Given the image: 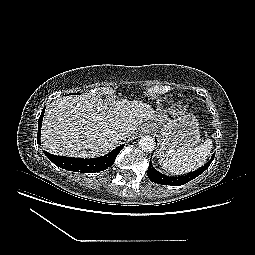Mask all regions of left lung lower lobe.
Returning a JSON list of instances; mask_svg holds the SVG:
<instances>
[{
	"label": "left lung lower lobe",
	"instance_id": "0a47b994",
	"mask_svg": "<svg viewBox=\"0 0 255 255\" xmlns=\"http://www.w3.org/2000/svg\"><path fill=\"white\" fill-rule=\"evenodd\" d=\"M214 156H215V154L212 156L210 161L207 162L206 165H204L199 170L189 173L187 175L175 176V177L167 176V175H164V174L160 173L159 171H157L153 167L152 162L150 160L147 175L151 181L158 183V184L171 185V186L183 185V184L191 181L192 179L196 178L200 174H202L209 167V165L211 164V162L214 159Z\"/></svg>",
	"mask_w": 255,
	"mask_h": 255
}]
</instances>
